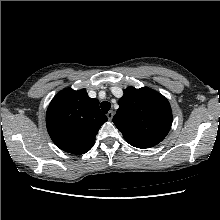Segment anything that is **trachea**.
Returning <instances> with one entry per match:
<instances>
[{
	"mask_svg": "<svg viewBox=\"0 0 220 220\" xmlns=\"http://www.w3.org/2000/svg\"><path fill=\"white\" fill-rule=\"evenodd\" d=\"M111 108V103L110 102H107V101H103L101 103V109L104 113H107Z\"/></svg>",
	"mask_w": 220,
	"mask_h": 220,
	"instance_id": "3493384b",
	"label": "trachea"
}]
</instances>
